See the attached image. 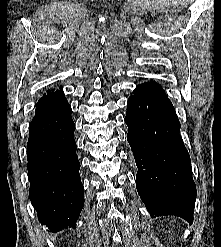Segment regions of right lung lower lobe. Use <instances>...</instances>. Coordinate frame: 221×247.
<instances>
[{
    "label": "right lung lower lobe",
    "mask_w": 221,
    "mask_h": 247,
    "mask_svg": "<svg viewBox=\"0 0 221 247\" xmlns=\"http://www.w3.org/2000/svg\"><path fill=\"white\" fill-rule=\"evenodd\" d=\"M75 124L63 91L38 101L27 143L29 198L50 232L75 228L84 206Z\"/></svg>",
    "instance_id": "right-lung-lower-lobe-1"
}]
</instances>
